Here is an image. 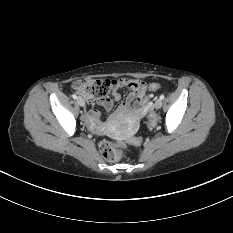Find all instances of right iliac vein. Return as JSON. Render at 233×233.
<instances>
[{
  "label": "right iliac vein",
  "mask_w": 233,
  "mask_h": 233,
  "mask_svg": "<svg viewBox=\"0 0 233 233\" xmlns=\"http://www.w3.org/2000/svg\"><path fill=\"white\" fill-rule=\"evenodd\" d=\"M77 103L80 105V106H84L85 105V101L82 97H78L77 98Z\"/></svg>",
  "instance_id": "1"
}]
</instances>
